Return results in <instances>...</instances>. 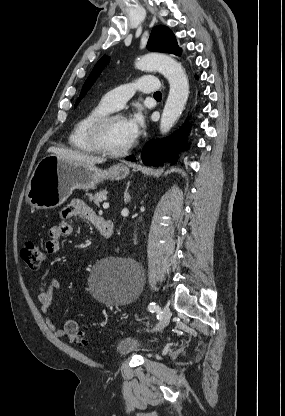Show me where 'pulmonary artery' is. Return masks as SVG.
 Returning a JSON list of instances; mask_svg holds the SVG:
<instances>
[{
    "label": "pulmonary artery",
    "instance_id": "e3ab8cb5",
    "mask_svg": "<svg viewBox=\"0 0 285 416\" xmlns=\"http://www.w3.org/2000/svg\"><path fill=\"white\" fill-rule=\"evenodd\" d=\"M142 92L149 93L158 88V80L152 75H145L138 78L133 83L124 84L122 86H133ZM131 87H112L110 92H107L102 97V102L111 110H117L121 107L122 102H129L131 100Z\"/></svg>",
    "mask_w": 285,
    "mask_h": 416
}]
</instances>
